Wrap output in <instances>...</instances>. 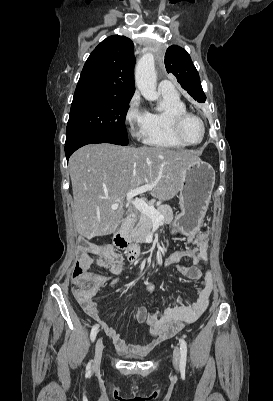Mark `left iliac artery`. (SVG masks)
<instances>
[{
  "mask_svg": "<svg viewBox=\"0 0 273 401\" xmlns=\"http://www.w3.org/2000/svg\"><path fill=\"white\" fill-rule=\"evenodd\" d=\"M180 342V352H181V358H180V368L185 369L186 367V357H187V344L186 341L181 338L179 340Z\"/></svg>",
  "mask_w": 273,
  "mask_h": 401,
  "instance_id": "left-iliac-artery-1",
  "label": "left iliac artery"
}]
</instances>
